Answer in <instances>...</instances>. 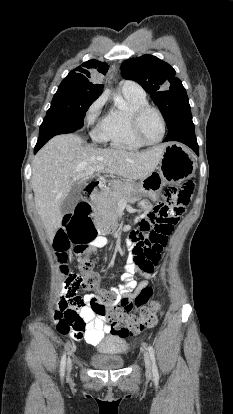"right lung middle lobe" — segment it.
Instances as JSON below:
<instances>
[{
	"label": "right lung middle lobe",
	"mask_w": 233,
	"mask_h": 414,
	"mask_svg": "<svg viewBox=\"0 0 233 414\" xmlns=\"http://www.w3.org/2000/svg\"><path fill=\"white\" fill-rule=\"evenodd\" d=\"M99 94L60 84L46 117H56L83 127L89 106Z\"/></svg>",
	"instance_id": "obj_1"
}]
</instances>
